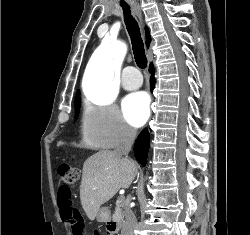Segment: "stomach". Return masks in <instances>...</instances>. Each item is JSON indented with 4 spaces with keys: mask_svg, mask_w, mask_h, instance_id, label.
<instances>
[{
    "mask_svg": "<svg viewBox=\"0 0 250 235\" xmlns=\"http://www.w3.org/2000/svg\"><path fill=\"white\" fill-rule=\"evenodd\" d=\"M109 219V211L107 208L102 207L99 209L98 214H97V221L98 222H107Z\"/></svg>",
    "mask_w": 250,
    "mask_h": 235,
    "instance_id": "0dacf381",
    "label": "stomach"
}]
</instances>
